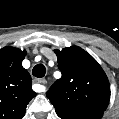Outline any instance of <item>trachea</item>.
<instances>
[{
    "instance_id": "trachea-1",
    "label": "trachea",
    "mask_w": 119,
    "mask_h": 119,
    "mask_svg": "<svg viewBox=\"0 0 119 119\" xmlns=\"http://www.w3.org/2000/svg\"><path fill=\"white\" fill-rule=\"evenodd\" d=\"M45 73H46V68L43 64H37L32 70V74L37 78L44 77Z\"/></svg>"
}]
</instances>
